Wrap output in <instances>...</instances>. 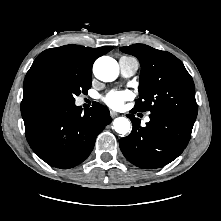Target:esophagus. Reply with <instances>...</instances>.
Here are the masks:
<instances>
[{
  "mask_svg": "<svg viewBox=\"0 0 221 221\" xmlns=\"http://www.w3.org/2000/svg\"><path fill=\"white\" fill-rule=\"evenodd\" d=\"M110 115L112 118L117 117L119 114L115 111H110Z\"/></svg>",
  "mask_w": 221,
  "mask_h": 221,
  "instance_id": "1",
  "label": "esophagus"
}]
</instances>
